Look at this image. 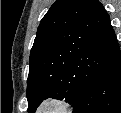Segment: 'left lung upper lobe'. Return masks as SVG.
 Instances as JSON below:
<instances>
[{"mask_svg":"<svg viewBox=\"0 0 121 113\" xmlns=\"http://www.w3.org/2000/svg\"><path fill=\"white\" fill-rule=\"evenodd\" d=\"M116 43L98 0H57L41 20L31 49L28 112L50 97L74 106Z\"/></svg>","mask_w":121,"mask_h":113,"instance_id":"5c2ea615","label":"left lung upper lobe"}]
</instances>
